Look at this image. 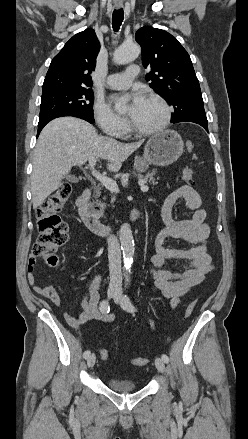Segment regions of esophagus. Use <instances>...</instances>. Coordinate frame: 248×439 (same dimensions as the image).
Listing matches in <instances>:
<instances>
[{
    "label": "esophagus",
    "mask_w": 248,
    "mask_h": 439,
    "mask_svg": "<svg viewBox=\"0 0 248 439\" xmlns=\"http://www.w3.org/2000/svg\"><path fill=\"white\" fill-rule=\"evenodd\" d=\"M116 7H117V8H119V7H120V5H116Z\"/></svg>",
    "instance_id": "obj_1"
}]
</instances>
